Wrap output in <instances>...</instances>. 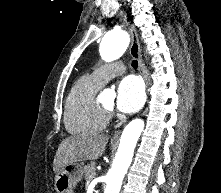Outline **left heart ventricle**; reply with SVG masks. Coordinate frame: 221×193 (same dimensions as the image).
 Here are the masks:
<instances>
[{
    "instance_id": "1",
    "label": "left heart ventricle",
    "mask_w": 221,
    "mask_h": 193,
    "mask_svg": "<svg viewBox=\"0 0 221 193\" xmlns=\"http://www.w3.org/2000/svg\"><path fill=\"white\" fill-rule=\"evenodd\" d=\"M107 108H112L114 105V97L106 98L101 102Z\"/></svg>"
}]
</instances>
